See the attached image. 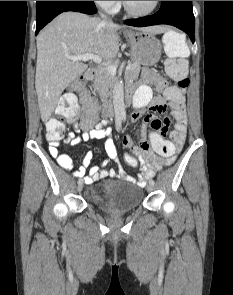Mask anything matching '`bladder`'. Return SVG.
Masks as SVG:
<instances>
[{
    "mask_svg": "<svg viewBox=\"0 0 233 295\" xmlns=\"http://www.w3.org/2000/svg\"><path fill=\"white\" fill-rule=\"evenodd\" d=\"M87 195L95 204L111 213L128 212L140 205V187L124 181L111 180L88 189Z\"/></svg>",
    "mask_w": 233,
    "mask_h": 295,
    "instance_id": "31cf9c89",
    "label": "bladder"
}]
</instances>
